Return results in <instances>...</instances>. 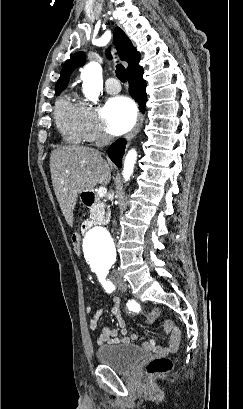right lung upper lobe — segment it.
Wrapping results in <instances>:
<instances>
[{
  "label": "right lung upper lobe",
  "mask_w": 243,
  "mask_h": 409,
  "mask_svg": "<svg viewBox=\"0 0 243 409\" xmlns=\"http://www.w3.org/2000/svg\"><path fill=\"white\" fill-rule=\"evenodd\" d=\"M114 43L118 51L119 57L123 61H127L129 66L127 68L128 76H132L137 72L143 71V68L139 65L140 54L133 47L131 41L126 34L119 28L114 30ZM107 56L111 58L109 51ZM85 63V56L83 52L75 53L69 60H67L61 70L60 78L58 79L55 92H61L66 86L70 78V74L77 66H81Z\"/></svg>",
  "instance_id": "cb5924a9"
}]
</instances>
